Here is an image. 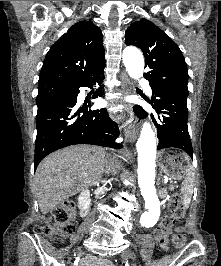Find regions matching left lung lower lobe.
<instances>
[{
	"mask_svg": "<svg viewBox=\"0 0 221 266\" xmlns=\"http://www.w3.org/2000/svg\"><path fill=\"white\" fill-rule=\"evenodd\" d=\"M150 86L152 101L149 103L156 110L160 122L157 123L151 114L159 137L157 149L178 148L185 151L193 159V149L187 127V96L161 86ZM133 109L140 118L148 115L139 105L134 106Z\"/></svg>",
	"mask_w": 221,
	"mask_h": 266,
	"instance_id": "1",
	"label": "left lung lower lobe"
}]
</instances>
